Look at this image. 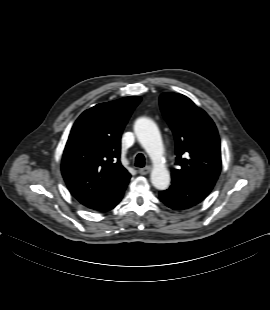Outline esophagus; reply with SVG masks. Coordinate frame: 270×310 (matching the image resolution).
Instances as JSON below:
<instances>
[{
  "mask_svg": "<svg viewBox=\"0 0 270 310\" xmlns=\"http://www.w3.org/2000/svg\"><path fill=\"white\" fill-rule=\"evenodd\" d=\"M151 172V167H149V166H146V167H144V168H140L139 169V173L141 174V175H147V174H149Z\"/></svg>",
  "mask_w": 270,
  "mask_h": 310,
  "instance_id": "obj_1",
  "label": "esophagus"
}]
</instances>
